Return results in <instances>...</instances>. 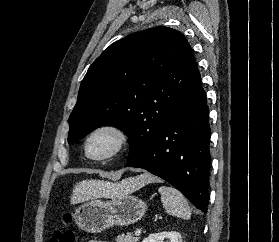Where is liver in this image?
<instances>
[{
    "label": "liver",
    "instance_id": "1",
    "mask_svg": "<svg viewBox=\"0 0 279 242\" xmlns=\"http://www.w3.org/2000/svg\"><path fill=\"white\" fill-rule=\"evenodd\" d=\"M154 180L155 179L149 174H143L136 178L127 179L120 185H122L125 191L131 193ZM115 187L116 186L110 182L103 180H83L74 186L71 204H76L92 198L108 196Z\"/></svg>",
    "mask_w": 279,
    "mask_h": 242
}]
</instances>
